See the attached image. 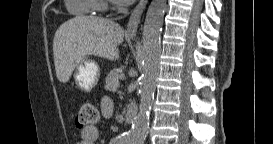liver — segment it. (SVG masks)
<instances>
[{
	"label": "liver",
	"mask_w": 273,
	"mask_h": 144,
	"mask_svg": "<svg viewBox=\"0 0 273 144\" xmlns=\"http://www.w3.org/2000/svg\"><path fill=\"white\" fill-rule=\"evenodd\" d=\"M124 30L111 20L94 16H76L64 22L53 39L56 76L62 83L69 81L73 70L87 55L111 61L119 59L118 45Z\"/></svg>",
	"instance_id": "liver-1"
}]
</instances>
